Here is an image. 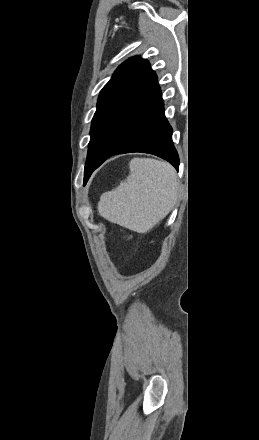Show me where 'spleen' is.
Here are the masks:
<instances>
[{
    "mask_svg": "<svg viewBox=\"0 0 259 440\" xmlns=\"http://www.w3.org/2000/svg\"><path fill=\"white\" fill-rule=\"evenodd\" d=\"M129 169L125 181L101 195L98 211L113 223L145 233L173 209L179 183L174 168L165 161L133 158Z\"/></svg>",
    "mask_w": 259,
    "mask_h": 440,
    "instance_id": "obj_1",
    "label": "spleen"
}]
</instances>
